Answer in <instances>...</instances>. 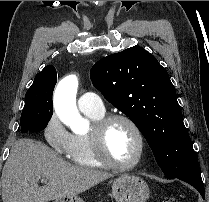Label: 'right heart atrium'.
I'll list each match as a JSON object with an SVG mask.
<instances>
[{"instance_id": "obj_1", "label": "right heart atrium", "mask_w": 209, "mask_h": 202, "mask_svg": "<svg viewBox=\"0 0 209 202\" xmlns=\"http://www.w3.org/2000/svg\"><path fill=\"white\" fill-rule=\"evenodd\" d=\"M45 141L58 153L66 154L72 142L70 134L55 113H52L43 128Z\"/></svg>"}]
</instances>
